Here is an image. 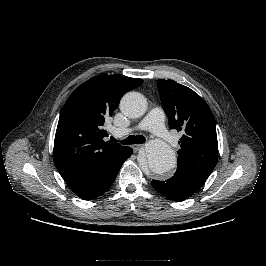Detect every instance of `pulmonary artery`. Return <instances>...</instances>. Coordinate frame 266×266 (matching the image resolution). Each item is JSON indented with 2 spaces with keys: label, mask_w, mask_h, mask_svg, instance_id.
<instances>
[{
  "label": "pulmonary artery",
  "mask_w": 266,
  "mask_h": 266,
  "mask_svg": "<svg viewBox=\"0 0 266 266\" xmlns=\"http://www.w3.org/2000/svg\"><path fill=\"white\" fill-rule=\"evenodd\" d=\"M164 112L159 107L152 108L146 117L134 128L125 129L123 134L131 133L135 130H146L152 132L158 138L162 139L168 146L173 147L176 141L171 137L164 127Z\"/></svg>",
  "instance_id": "pulmonary-artery-1"
}]
</instances>
